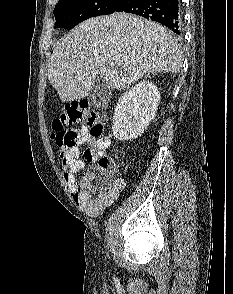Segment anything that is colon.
Segmentation results:
<instances>
[{
    "label": "colon",
    "mask_w": 233,
    "mask_h": 294,
    "mask_svg": "<svg viewBox=\"0 0 233 294\" xmlns=\"http://www.w3.org/2000/svg\"><path fill=\"white\" fill-rule=\"evenodd\" d=\"M73 125L87 127L94 137L99 136L103 131V122L94 112L89 110L87 103L72 102L66 104L60 115L52 123L53 139L61 159L66 157L68 151L74 145L75 134L68 129ZM95 162L96 165L79 182V191L84 194H95L111 185L115 172L111 159L101 155Z\"/></svg>",
    "instance_id": "1"
}]
</instances>
